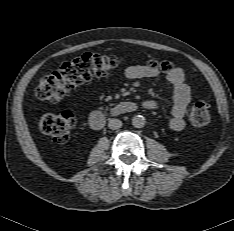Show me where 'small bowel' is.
I'll list each match as a JSON object with an SVG mask.
<instances>
[{
  "label": "small bowel",
  "instance_id": "small-bowel-1",
  "mask_svg": "<svg viewBox=\"0 0 234 231\" xmlns=\"http://www.w3.org/2000/svg\"><path fill=\"white\" fill-rule=\"evenodd\" d=\"M159 72L149 65H131L126 68L125 75L128 79H142L157 77ZM167 79L172 86L173 105L168 127L171 131H180L184 128V115L191 100L190 87L185 81L184 70L174 67L168 73ZM159 103L156 100L148 99L142 102L145 109H156Z\"/></svg>",
  "mask_w": 234,
  "mask_h": 231
}]
</instances>
